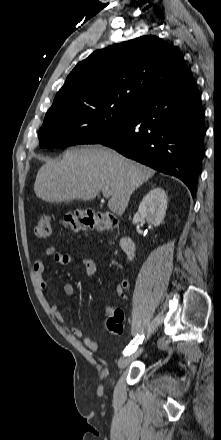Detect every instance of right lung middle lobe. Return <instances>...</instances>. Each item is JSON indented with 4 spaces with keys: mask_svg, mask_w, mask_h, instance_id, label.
I'll return each instance as SVG.
<instances>
[{
    "mask_svg": "<svg viewBox=\"0 0 221 440\" xmlns=\"http://www.w3.org/2000/svg\"><path fill=\"white\" fill-rule=\"evenodd\" d=\"M134 107L117 103L81 104L49 110L39 130L44 148L95 144L108 138L130 117Z\"/></svg>",
    "mask_w": 221,
    "mask_h": 440,
    "instance_id": "right-lung-middle-lobe-1",
    "label": "right lung middle lobe"
}]
</instances>
